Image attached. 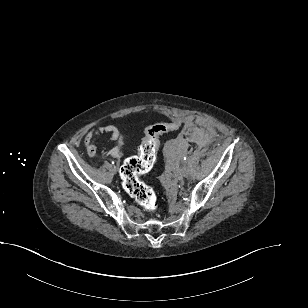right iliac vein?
Listing matches in <instances>:
<instances>
[{"mask_svg":"<svg viewBox=\"0 0 308 308\" xmlns=\"http://www.w3.org/2000/svg\"><path fill=\"white\" fill-rule=\"evenodd\" d=\"M117 169H118L117 166H113V171L114 172H117Z\"/></svg>","mask_w":308,"mask_h":308,"instance_id":"right-iliac-vein-1","label":"right iliac vein"}]
</instances>
